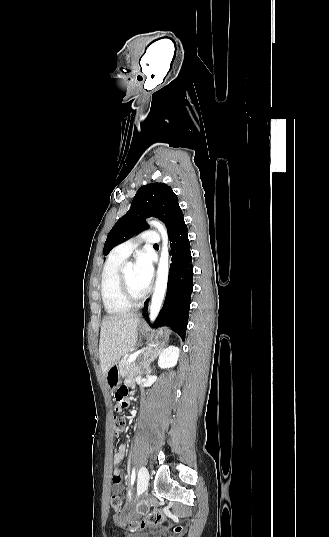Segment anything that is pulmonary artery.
Here are the masks:
<instances>
[{"instance_id":"1","label":"pulmonary artery","mask_w":329,"mask_h":537,"mask_svg":"<svg viewBox=\"0 0 329 537\" xmlns=\"http://www.w3.org/2000/svg\"><path fill=\"white\" fill-rule=\"evenodd\" d=\"M160 241L161 238L159 233L156 231H147L144 232L138 240L125 241L116 246L112 252L118 257L127 258L139 244L158 245Z\"/></svg>"}]
</instances>
